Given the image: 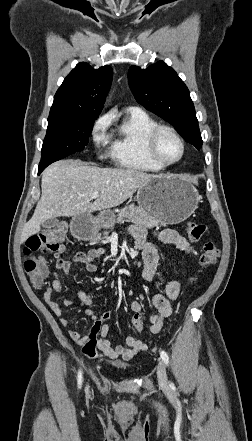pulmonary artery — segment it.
<instances>
[{
	"label": "pulmonary artery",
	"instance_id": "obj_1",
	"mask_svg": "<svg viewBox=\"0 0 252 441\" xmlns=\"http://www.w3.org/2000/svg\"><path fill=\"white\" fill-rule=\"evenodd\" d=\"M129 110H136L137 111V110H140V109L137 108V107H130Z\"/></svg>",
	"mask_w": 252,
	"mask_h": 441
}]
</instances>
